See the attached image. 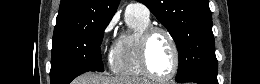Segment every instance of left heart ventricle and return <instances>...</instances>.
<instances>
[{"label": "left heart ventricle", "instance_id": "1", "mask_svg": "<svg viewBox=\"0 0 260 84\" xmlns=\"http://www.w3.org/2000/svg\"><path fill=\"white\" fill-rule=\"evenodd\" d=\"M148 60L151 70L159 76H168L174 63L170 41L163 33H155L150 40Z\"/></svg>", "mask_w": 260, "mask_h": 84}]
</instances>
